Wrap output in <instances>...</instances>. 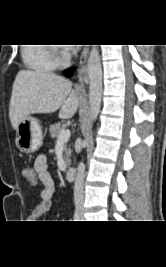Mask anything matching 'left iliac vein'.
<instances>
[{"label":"left iliac vein","instance_id":"obj_1","mask_svg":"<svg viewBox=\"0 0 166 267\" xmlns=\"http://www.w3.org/2000/svg\"><path fill=\"white\" fill-rule=\"evenodd\" d=\"M81 218H83V216H82V212H81Z\"/></svg>","mask_w":166,"mask_h":267}]
</instances>
